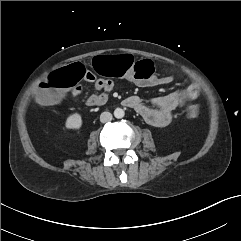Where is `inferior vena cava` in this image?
<instances>
[{"label":"inferior vena cava","instance_id":"602c4592","mask_svg":"<svg viewBox=\"0 0 241 241\" xmlns=\"http://www.w3.org/2000/svg\"><path fill=\"white\" fill-rule=\"evenodd\" d=\"M112 120V114L110 112H103L100 115V121L102 123H107Z\"/></svg>","mask_w":241,"mask_h":241}]
</instances>
